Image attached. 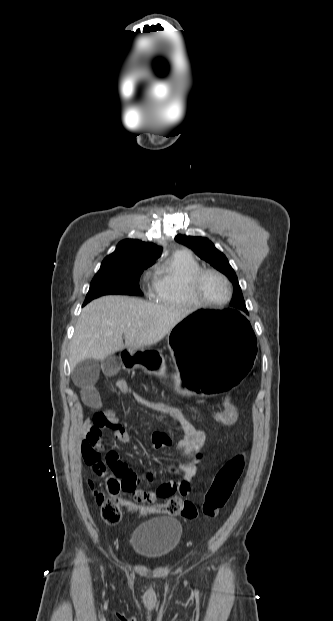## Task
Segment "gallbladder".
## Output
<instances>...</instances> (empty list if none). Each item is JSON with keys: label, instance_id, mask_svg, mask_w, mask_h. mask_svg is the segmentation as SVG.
Listing matches in <instances>:
<instances>
[{"label": "gallbladder", "instance_id": "1", "mask_svg": "<svg viewBox=\"0 0 333 621\" xmlns=\"http://www.w3.org/2000/svg\"><path fill=\"white\" fill-rule=\"evenodd\" d=\"M99 364L94 359L79 362L72 371V380L77 386H88L97 381Z\"/></svg>", "mask_w": 333, "mask_h": 621}]
</instances>
